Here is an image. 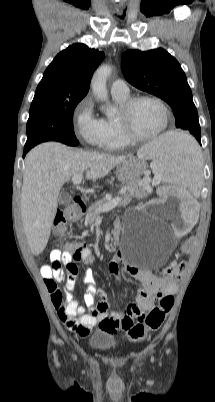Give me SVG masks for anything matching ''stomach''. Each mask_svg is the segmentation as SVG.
<instances>
[{
    "label": "stomach",
    "instance_id": "0dacf381",
    "mask_svg": "<svg viewBox=\"0 0 215 402\" xmlns=\"http://www.w3.org/2000/svg\"><path fill=\"white\" fill-rule=\"evenodd\" d=\"M146 169L144 160L140 157L128 156L116 169V177L123 184L139 181Z\"/></svg>",
    "mask_w": 215,
    "mask_h": 402
}]
</instances>
